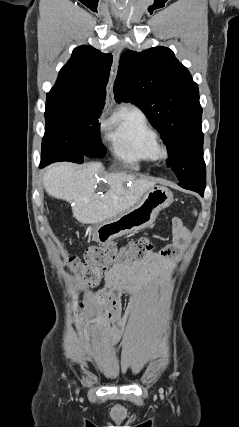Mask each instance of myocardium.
<instances>
[{"mask_svg":"<svg viewBox=\"0 0 239 427\" xmlns=\"http://www.w3.org/2000/svg\"><path fill=\"white\" fill-rule=\"evenodd\" d=\"M155 159L165 161L170 156L169 147L163 143H158L154 149Z\"/></svg>","mask_w":239,"mask_h":427,"instance_id":"myocardium-1","label":"myocardium"}]
</instances>
